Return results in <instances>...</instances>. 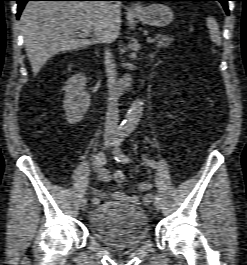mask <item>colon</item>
<instances>
[{
	"mask_svg": "<svg viewBox=\"0 0 247 265\" xmlns=\"http://www.w3.org/2000/svg\"><path fill=\"white\" fill-rule=\"evenodd\" d=\"M113 177L117 184H123L126 180L125 175L121 171H115Z\"/></svg>",
	"mask_w": 247,
	"mask_h": 265,
	"instance_id": "5ec220e1",
	"label": "colon"
}]
</instances>
